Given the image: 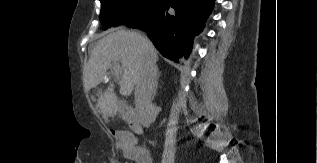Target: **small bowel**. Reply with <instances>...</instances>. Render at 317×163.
I'll use <instances>...</instances> for the list:
<instances>
[{
    "label": "small bowel",
    "instance_id": "c3829d8e",
    "mask_svg": "<svg viewBox=\"0 0 317 163\" xmlns=\"http://www.w3.org/2000/svg\"><path fill=\"white\" fill-rule=\"evenodd\" d=\"M120 141L124 146V155L126 158L134 161L135 163H153L152 157L149 152L144 153L142 156H138L133 148V144L130 138L126 135L120 136Z\"/></svg>",
    "mask_w": 317,
    "mask_h": 163
}]
</instances>
